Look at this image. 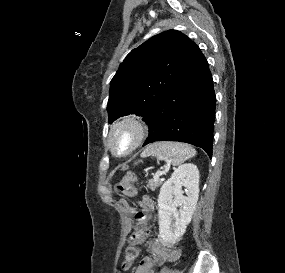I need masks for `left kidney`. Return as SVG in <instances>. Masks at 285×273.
<instances>
[{"label": "left kidney", "mask_w": 285, "mask_h": 273, "mask_svg": "<svg viewBox=\"0 0 285 273\" xmlns=\"http://www.w3.org/2000/svg\"><path fill=\"white\" fill-rule=\"evenodd\" d=\"M182 186L187 188V196L183 195ZM198 197L197 166L191 163L179 166L162 185L158 196L159 233L162 242L172 244L183 236L196 209Z\"/></svg>", "instance_id": "1"}]
</instances>
